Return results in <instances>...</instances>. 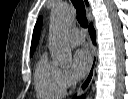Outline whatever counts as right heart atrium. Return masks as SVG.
Segmentation results:
<instances>
[{"instance_id":"d8ad5b80","label":"right heart atrium","mask_w":128,"mask_h":99,"mask_svg":"<svg viewBox=\"0 0 128 99\" xmlns=\"http://www.w3.org/2000/svg\"><path fill=\"white\" fill-rule=\"evenodd\" d=\"M60 80L65 90L72 87L75 84L74 76L67 69L60 70Z\"/></svg>"}]
</instances>
